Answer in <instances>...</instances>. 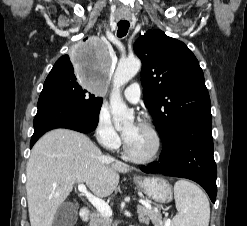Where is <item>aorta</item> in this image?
Listing matches in <instances>:
<instances>
[{
  "label": "aorta",
  "mask_w": 247,
  "mask_h": 226,
  "mask_svg": "<svg viewBox=\"0 0 247 226\" xmlns=\"http://www.w3.org/2000/svg\"><path fill=\"white\" fill-rule=\"evenodd\" d=\"M140 67V60L133 58L120 61L116 68L113 77V90L110 95L111 113L116 128L129 125L133 120V112L124 103L120 88L138 73Z\"/></svg>",
  "instance_id": "762f6f07"
}]
</instances>
